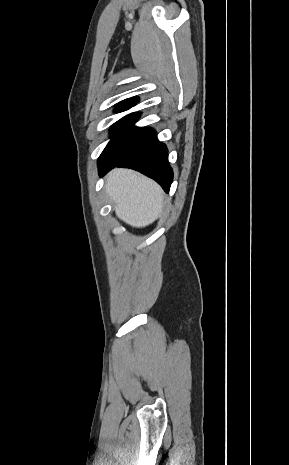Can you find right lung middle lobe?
I'll use <instances>...</instances> for the list:
<instances>
[{
    "label": "right lung middle lobe",
    "instance_id": "obj_1",
    "mask_svg": "<svg viewBox=\"0 0 289 465\" xmlns=\"http://www.w3.org/2000/svg\"><path fill=\"white\" fill-rule=\"evenodd\" d=\"M132 105H123L115 109L122 112ZM141 113H131L117 121L111 128V141L99 157L98 162H114L127 154L151 128L135 127L133 124L138 120Z\"/></svg>",
    "mask_w": 289,
    "mask_h": 465
}]
</instances>
